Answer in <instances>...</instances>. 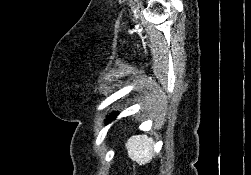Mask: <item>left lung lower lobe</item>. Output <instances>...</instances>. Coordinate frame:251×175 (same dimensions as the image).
I'll list each match as a JSON object with an SVG mask.
<instances>
[{"label":"left lung lower lobe","instance_id":"obj_1","mask_svg":"<svg viewBox=\"0 0 251 175\" xmlns=\"http://www.w3.org/2000/svg\"><path fill=\"white\" fill-rule=\"evenodd\" d=\"M117 113L111 114L108 118V121H111L112 119H114L116 117Z\"/></svg>","mask_w":251,"mask_h":175}]
</instances>
